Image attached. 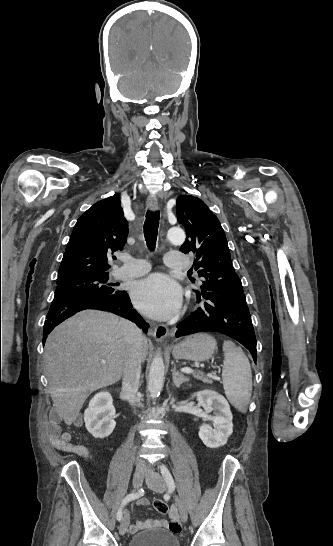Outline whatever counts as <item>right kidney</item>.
<instances>
[{
    "label": "right kidney",
    "instance_id": "ca27d5eb",
    "mask_svg": "<svg viewBox=\"0 0 333 546\" xmlns=\"http://www.w3.org/2000/svg\"><path fill=\"white\" fill-rule=\"evenodd\" d=\"M114 415L115 408L111 394L107 391L97 393L84 412L87 431L95 438L103 439L109 436L116 425Z\"/></svg>",
    "mask_w": 333,
    "mask_h": 546
}]
</instances>
